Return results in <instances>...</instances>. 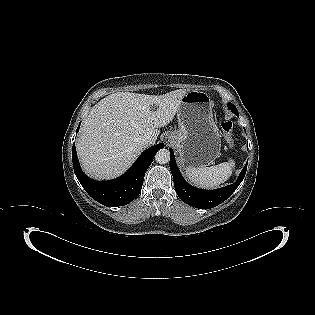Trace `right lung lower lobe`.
Returning a JSON list of instances; mask_svg holds the SVG:
<instances>
[{
  "label": "right lung lower lobe",
  "instance_id": "98d812e1",
  "mask_svg": "<svg viewBox=\"0 0 315 315\" xmlns=\"http://www.w3.org/2000/svg\"><path fill=\"white\" fill-rule=\"evenodd\" d=\"M163 147L164 144L159 143L148 148L125 174L111 181L98 182L87 177L81 170L74 143L72 151L74 172L85 191L99 203L105 206L126 205L141 192L145 172L155 153Z\"/></svg>",
  "mask_w": 315,
  "mask_h": 315
}]
</instances>
